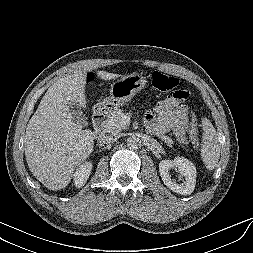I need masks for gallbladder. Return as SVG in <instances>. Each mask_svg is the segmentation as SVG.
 <instances>
[{
	"label": "gallbladder",
	"instance_id": "bac80fb5",
	"mask_svg": "<svg viewBox=\"0 0 253 253\" xmlns=\"http://www.w3.org/2000/svg\"><path fill=\"white\" fill-rule=\"evenodd\" d=\"M68 106L72 113L73 121L80 123L83 127L88 126L87 117L83 114L81 108L72 102H70Z\"/></svg>",
	"mask_w": 253,
	"mask_h": 253
}]
</instances>
